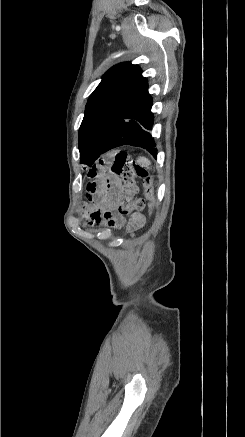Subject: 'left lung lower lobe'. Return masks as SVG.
Here are the masks:
<instances>
[{
	"label": "left lung lower lobe",
	"mask_w": 245,
	"mask_h": 437,
	"mask_svg": "<svg viewBox=\"0 0 245 437\" xmlns=\"http://www.w3.org/2000/svg\"><path fill=\"white\" fill-rule=\"evenodd\" d=\"M151 106L152 97L146 83L111 128L100 154L118 146L132 145L145 148L156 157L157 149L149 133L153 124Z\"/></svg>",
	"instance_id": "1"
}]
</instances>
